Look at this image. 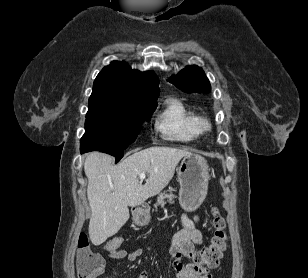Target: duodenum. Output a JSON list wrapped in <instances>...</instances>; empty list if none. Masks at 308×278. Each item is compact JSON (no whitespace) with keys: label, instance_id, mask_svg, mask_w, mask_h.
I'll use <instances>...</instances> for the list:
<instances>
[{"label":"duodenum","instance_id":"410a0bca","mask_svg":"<svg viewBox=\"0 0 308 278\" xmlns=\"http://www.w3.org/2000/svg\"><path fill=\"white\" fill-rule=\"evenodd\" d=\"M148 211V206L145 203H142L137 206L136 212H135V218L137 221L141 220L146 212Z\"/></svg>","mask_w":308,"mask_h":278}]
</instances>
